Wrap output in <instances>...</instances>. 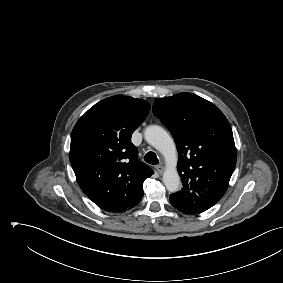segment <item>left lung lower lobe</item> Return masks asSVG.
<instances>
[{"instance_id": "obj_1", "label": "left lung lower lobe", "mask_w": 283, "mask_h": 283, "mask_svg": "<svg viewBox=\"0 0 283 283\" xmlns=\"http://www.w3.org/2000/svg\"><path fill=\"white\" fill-rule=\"evenodd\" d=\"M170 203L174 208L177 210L185 213V214H194V213H199L198 209H196L192 204L187 202L186 200L175 196L174 194H171L170 197Z\"/></svg>"}]
</instances>
